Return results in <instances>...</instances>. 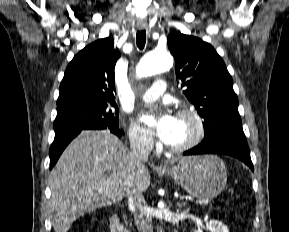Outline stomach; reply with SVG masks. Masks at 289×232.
<instances>
[{
	"instance_id": "0dacf381",
	"label": "stomach",
	"mask_w": 289,
	"mask_h": 232,
	"mask_svg": "<svg viewBox=\"0 0 289 232\" xmlns=\"http://www.w3.org/2000/svg\"><path fill=\"white\" fill-rule=\"evenodd\" d=\"M161 174L171 176L188 194L200 199L217 197L227 182L226 166L214 155L184 157Z\"/></svg>"
}]
</instances>
